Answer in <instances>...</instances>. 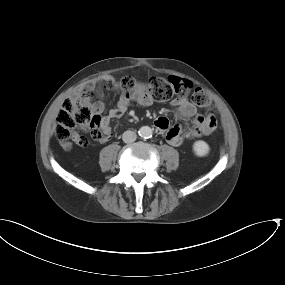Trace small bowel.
<instances>
[{
  "instance_id": "1",
  "label": "small bowel",
  "mask_w": 285,
  "mask_h": 285,
  "mask_svg": "<svg viewBox=\"0 0 285 285\" xmlns=\"http://www.w3.org/2000/svg\"><path fill=\"white\" fill-rule=\"evenodd\" d=\"M89 83L93 87L96 96V101L91 104V109L99 119L100 125L105 130V138L102 141H106L111 135L110 121L120 118L127 111L130 104L136 103L141 106H150L154 102V99L148 93L138 92L129 96L122 93L119 96L116 106L106 112L104 93L96 86L97 81L92 80ZM77 99H79V90L75 89L69 94L68 100ZM171 105L176 108L177 116L181 119L191 118L197 111L196 106L185 97L172 100ZM211 119L212 117L210 116L196 118L194 120L196 127L183 134L181 133L180 127L171 125L169 119L165 116L158 117L155 120V126L170 145L178 147L183 144L184 140H193L204 134L203 132L206 129V123ZM72 143L81 147H86L88 145V141L78 134H73Z\"/></svg>"
}]
</instances>
